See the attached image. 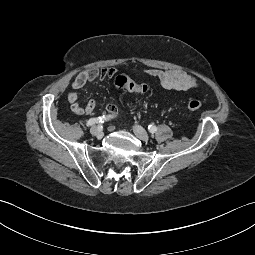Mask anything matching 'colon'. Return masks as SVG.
Segmentation results:
<instances>
[{"instance_id": "1", "label": "colon", "mask_w": 255, "mask_h": 255, "mask_svg": "<svg viewBox=\"0 0 255 255\" xmlns=\"http://www.w3.org/2000/svg\"><path fill=\"white\" fill-rule=\"evenodd\" d=\"M114 85L118 89L127 88L135 93H145L148 90V86L146 84L135 83L124 75L118 76L114 81ZM187 108L191 111H199L202 108V103L198 99L191 98L187 101Z\"/></svg>"}]
</instances>
